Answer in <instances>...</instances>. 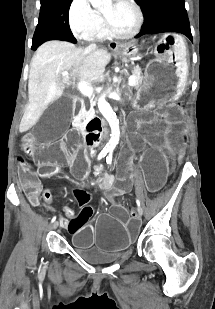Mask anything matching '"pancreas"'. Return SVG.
Returning a JSON list of instances; mask_svg holds the SVG:
<instances>
[{"label": "pancreas", "mask_w": 215, "mask_h": 309, "mask_svg": "<svg viewBox=\"0 0 215 309\" xmlns=\"http://www.w3.org/2000/svg\"><path fill=\"white\" fill-rule=\"evenodd\" d=\"M133 76H135V88H138V86H141L143 80H144V76H142V72L141 70H139V68H136V66H134L133 70H131ZM128 90H132V86H128ZM80 114H83L85 120H84V124H86L87 120H90V118H93V116H95V110H94V104H93V100H90V108H88V110H82V112H80Z\"/></svg>", "instance_id": "pancreas-1"}]
</instances>
